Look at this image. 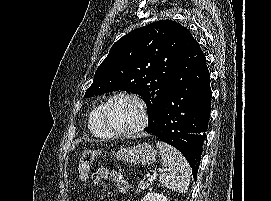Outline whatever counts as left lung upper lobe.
Here are the masks:
<instances>
[{
  "label": "left lung upper lobe",
  "instance_id": "left-lung-upper-lobe-1",
  "mask_svg": "<svg viewBox=\"0 0 271 201\" xmlns=\"http://www.w3.org/2000/svg\"><path fill=\"white\" fill-rule=\"evenodd\" d=\"M186 28L172 20H161L121 37L98 67L85 98L123 90L144 98L148 127L156 124L171 86Z\"/></svg>",
  "mask_w": 271,
  "mask_h": 201
}]
</instances>
